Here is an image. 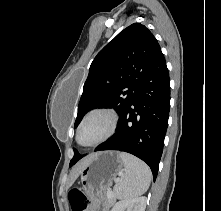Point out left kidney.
<instances>
[{
    "mask_svg": "<svg viewBox=\"0 0 221 211\" xmlns=\"http://www.w3.org/2000/svg\"><path fill=\"white\" fill-rule=\"evenodd\" d=\"M147 198L137 197L117 202L111 211H145Z\"/></svg>",
    "mask_w": 221,
    "mask_h": 211,
    "instance_id": "1",
    "label": "left kidney"
}]
</instances>
